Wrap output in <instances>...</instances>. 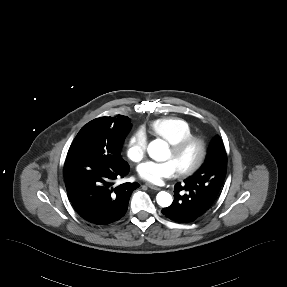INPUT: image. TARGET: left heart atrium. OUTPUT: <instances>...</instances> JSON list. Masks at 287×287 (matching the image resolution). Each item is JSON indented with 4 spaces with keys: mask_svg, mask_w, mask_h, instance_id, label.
I'll list each match as a JSON object with an SVG mask.
<instances>
[{
    "mask_svg": "<svg viewBox=\"0 0 287 287\" xmlns=\"http://www.w3.org/2000/svg\"><path fill=\"white\" fill-rule=\"evenodd\" d=\"M178 174L175 163L171 160L166 162L147 161L138 168V176L150 184H161L165 179H170Z\"/></svg>",
    "mask_w": 287,
    "mask_h": 287,
    "instance_id": "1",
    "label": "left heart atrium"
}]
</instances>
